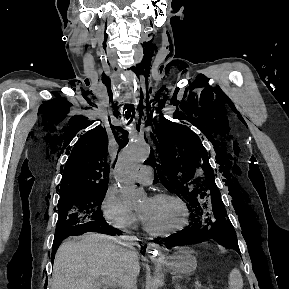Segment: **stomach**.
I'll list each match as a JSON object with an SVG mask.
<instances>
[{
	"mask_svg": "<svg viewBox=\"0 0 289 289\" xmlns=\"http://www.w3.org/2000/svg\"><path fill=\"white\" fill-rule=\"evenodd\" d=\"M168 267L177 275H191L197 268V260L193 250L181 248L168 256Z\"/></svg>",
	"mask_w": 289,
	"mask_h": 289,
	"instance_id": "1",
	"label": "stomach"
}]
</instances>
